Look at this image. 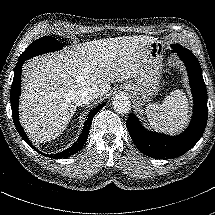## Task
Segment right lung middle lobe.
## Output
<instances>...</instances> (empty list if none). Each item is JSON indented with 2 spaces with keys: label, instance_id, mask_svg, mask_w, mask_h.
Wrapping results in <instances>:
<instances>
[{
  "label": "right lung middle lobe",
  "instance_id": "1",
  "mask_svg": "<svg viewBox=\"0 0 215 215\" xmlns=\"http://www.w3.org/2000/svg\"><path fill=\"white\" fill-rule=\"evenodd\" d=\"M63 48V45L51 36H44L29 45V47L20 55L19 58L30 59L34 56L57 51Z\"/></svg>",
  "mask_w": 215,
  "mask_h": 215
}]
</instances>
